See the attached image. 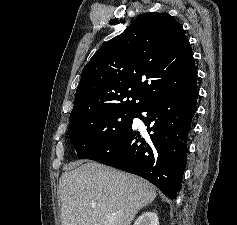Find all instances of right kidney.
I'll use <instances>...</instances> for the list:
<instances>
[{
    "label": "right kidney",
    "mask_w": 237,
    "mask_h": 225,
    "mask_svg": "<svg viewBox=\"0 0 237 225\" xmlns=\"http://www.w3.org/2000/svg\"><path fill=\"white\" fill-rule=\"evenodd\" d=\"M134 225H159L158 216L155 212H144L137 218Z\"/></svg>",
    "instance_id": "right-kidney-1"
}]
</instances>
